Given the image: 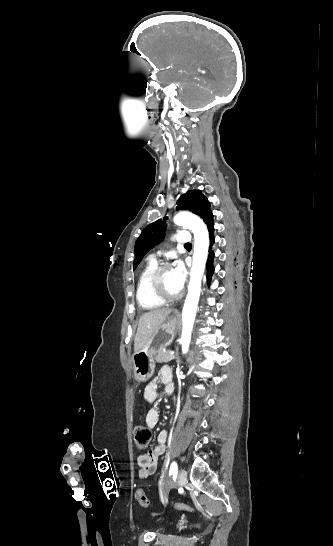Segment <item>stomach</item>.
<instances>
[{"label": "stomach", "instance_id": "0dacf381", "mask_svg": "<svg viewBox=\"0 0 333 546\" xmlns=\"http://www.w3.org/2000/svg\"><path fill=\"white\" fill-rule=\"evenodd\" d=\"M177 324L175 317H169L158 327L148 343L141 350L134 352L132 367L138 381H147L152 377L155 369V355L173 342Z\"/></svg>", "mask_w": 333, "mask_h": 546}]
</instances>
